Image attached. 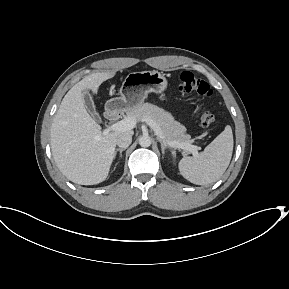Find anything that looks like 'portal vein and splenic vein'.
Wrapping results in <instances>:
<instances>
[{"label":"portal vein and splenic vein","mask_w":289,"mask_h":289,"mask_svg":"<svg viewBox=\"0 0 289 289\" xmlns=\"http://www.w3.org/2000/svg\"><path fill=\"white\" fill-rule=\"evenodd\" d=\"M144 121L150 126V128L154 130V132L156 133L158 137L164 139L162 132L160 130V127L155 121H153L152 119H145ZM135 125H136V120L133 118L127 117L116 123L109 125L107 128L103 130V133L107 134L111 131H128V130L133 129ZM170 145L181 148V149H185L187 151H190L194 156H198L199 147L195 145H191L187 143H179V142H173V143H170Z\"/></svg>","instance_id":"obj_1"}]
</instances>
